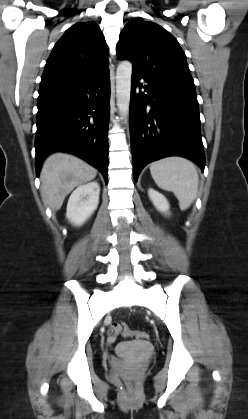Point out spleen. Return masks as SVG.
Returning <instances> with one entry per match:
<instances>
[{
    "mask_svg": "<svg viewBox=\"0 0 248 419\" xmlns=\"http://www.w3.org/2000/svg\"><path fill=\"white\" fill-rule=\"evenodd\" d=\"M152 178L159 188L172 191L181 210H186L195 200L199 176L195 165L182 157H168L150 165Z\"/></svg>",
    "mask_w": 248,
    "mask_h": 419,
    "instance_id": "spleen-1",
    "label": "spleen"
}]
</instances>
